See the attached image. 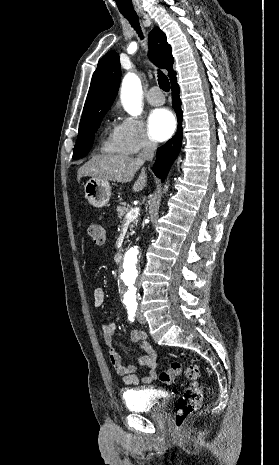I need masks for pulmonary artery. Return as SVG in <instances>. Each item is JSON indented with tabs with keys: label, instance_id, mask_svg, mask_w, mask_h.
<instances>
[{
	"label": "pulmonary artery",
	"instance_id": "obj_1",
	"mask_svg": "<svg viewBox=\"0 0 279 465\" xmlns=\"http://www.w3.org/2000/svg\"><path fill=\"white\" fill-rule=\"evenodd\" d=\"M147 101L153 106H159L165 102V98L158 87H153L147 94Z\"/></svg>",
	"mask_w": 279,
	"mask_h": 465
}]
</instances>
